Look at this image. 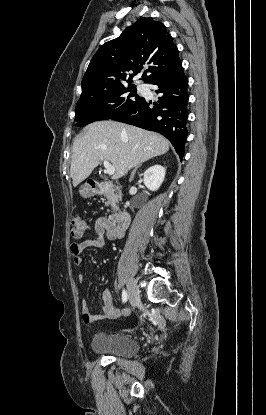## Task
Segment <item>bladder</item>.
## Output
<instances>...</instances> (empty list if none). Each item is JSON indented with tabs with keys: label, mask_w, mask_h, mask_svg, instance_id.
Masks as SVG:
<instances>
[{
	"label": "bladder",
	"mask_w": 266,
	"mask_h": 415,
	"mask_svg": "<svg viewBox=\"0 0 266 415\" xmlns=\"http://www.w3.org/2000/svg\"><path fill=\"white\" fill-rule=\"evenodd\" d=\"M91 348L99 355L129 358L137 354L139 345L134 338L126 334L99 333L94 336Z\"/></svg>",
	"instance_id": "1"
}]
</instances>
